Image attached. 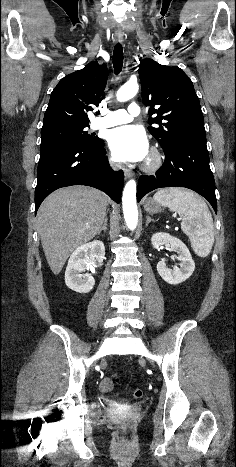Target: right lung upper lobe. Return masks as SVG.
I'll return each mask as SVG.
<instances>
[{
  "label": "right lung upper lobe",
  "instance_id": "right-lung-upper-lobe-1",
  "mask_svg": "<svg viewBox=\"0 0 236 467\" xmlns=\"http://www.w3.org/2000/svg\"><path fill=\"white\" fill-rule=\"evenodd\" d=\"M107 77V67L93 61L61 79L51 93L42 130L88 125L87 112L98 106Z\"/></svg>",
  "mask_w": 236,
  "mask_h": 467
}]
</instances>
